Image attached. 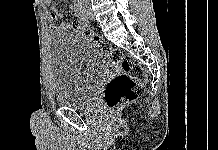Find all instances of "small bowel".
Listing matches in <instances>:
<instances>
[{
	"label": "small bowel",
	"mask_w": 218,
	"mask_h": 150,
	"mask_svg": "<svg viewBox=\"0 0 218 150\" xmlns=\"http://www.w3.org/2000/svg\"><path fill=\"white\" fill-rule=\"evenodd\" d=\"M53 0H44V5L46 9V18L50 22L49 30L51 33H57L61 31H68L71 29V25L69 23H60L56 24L58 18L62 16L57 9L53 6ZM72 12L77 16V9L72 7ZM78 17V16H77Z\"/></svg>",
	"instance_id": "1"
}]
</instances>
